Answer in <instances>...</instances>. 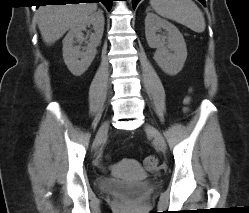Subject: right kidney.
<instances>
[{"instance_id":"obj_1","label":"right kidney","mask_w":249,"mask_h":213,"mask_svg":"<svg viewBox=\"0 0 249 213\" xmlns=\"http://www.w3.org/2000/svg\"><path fill=\"white\" fill-rule=\"evenodd\" d=\"M93 26L94 33L90 35L87 47L80 50V46H74V43H83L86 38L83 31ZM104 31L103 12H97L89 15L86 19L70 29L63 40V59L69 71L75 75H82L91 65L97 52V46L100 44Z\"/></svg>"}]
</instances>
